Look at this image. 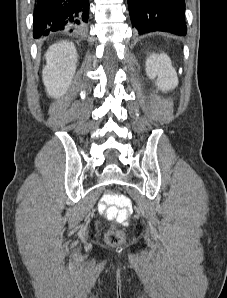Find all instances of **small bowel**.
<instances>
[{
  "label": "small bowel",
  "instance_id": "c3829d8e",
  "mask_svg": "<svg viewBox=\"0 0 227 298\" xmlns=\"http://www.w3.org/2000/svg\"><path fill=\"white\" fill-rule=\"evenodd\" d=\"M99 210L101 211V212H104V207H103V205H99ZM119 222H124L123 220H121L120 218H118L117 219Z\"/></svg>",
  "mask_w": 227,
  "mask_h": 298
}]
</instances>
